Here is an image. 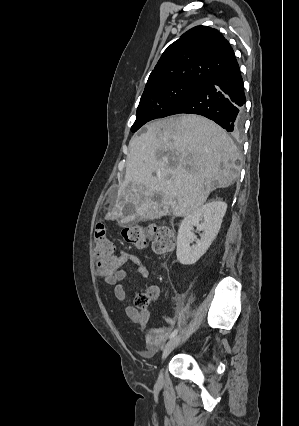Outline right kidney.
I'll use <instances>...</instances> for the list:
<instances>
[{
  "mask_svg": "<svg viewBox=\"0 0 299 426\" xmlns=\"http://www.w3.org/2000/svg\"><path fill=\"white\" fill-rule=\"evenodd\" d=\"M227 204L221 200H213L194 213L186 216L179 227L176 255L183 265H192L207 251L218 234ZM194 226L202 231L201 238L196 239ZM195 241L196 244L190 246Z\"/></svg>",
  "mask_w": 299,
  "mask_h": 426,
  "instance_id": "1",
  "label": "right kidney"
}]
</instances>
